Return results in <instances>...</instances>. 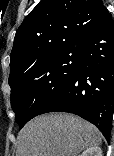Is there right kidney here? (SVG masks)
<instances>
[{
    "label": "right kidney",
    "instance_id": "obj_1",
    "mask_svg": "<svg viewBox=\"0 0 114 156\" xmlns=\"http://www.w3.org/2000/svg\"><path fill=\"white\" fill-rule=\"evenodd\" d=\"M81 156H102V150L100 147H89L83 151Z\"/></svg>",
    "mask_w": 114,
    "mask_h": 156
}]
</instances>
